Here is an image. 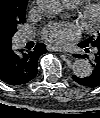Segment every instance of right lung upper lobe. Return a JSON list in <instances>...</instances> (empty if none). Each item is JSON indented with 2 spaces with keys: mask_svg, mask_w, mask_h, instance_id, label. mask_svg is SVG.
<instances>
[{
  "mask_svg": "<svg viewBox=\"0 0 100 118\" xmlns=\"http://www.w3.org/2000/svg\"><path fill=\"white\" fill-rule=\"evenodd\" d=\"M28 0H0V51L11 47L17 25L25 22Z\"/></svg>",
  "mask_w": 100,
  "mask_h": 118,
  "instance_id": "obj_1",
  "label": "right lung upper lobe"
}]
</instances>
